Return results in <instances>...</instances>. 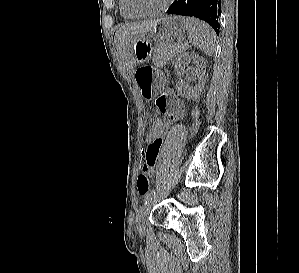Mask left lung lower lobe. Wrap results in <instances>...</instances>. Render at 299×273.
Instances as JSON below:
<instances>
[{"mask_svg":"<svg viewBox=\"0 0 299 273\" xmlns=\"http://www.w3.org/2000/svg\"><path fill=\"white\" fill-rule=\"evenodd\" d=\"M221 0H175L167 13L194 16L209 23L219 34Z\"/></svg>","mask_w":299,"mask_h":273,"instance_id":"obj_1","label":"left lung lower lobe"}]
</instances>
